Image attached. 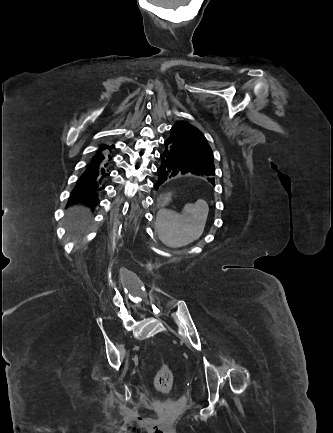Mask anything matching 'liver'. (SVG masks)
Wrapping results in <instances>:
<instances>
[{
  "label": "liver",
  "mask_w": 333,
  "mask_h": 433,
  "mask_svg": "<svg viewBox=\"0 0 333 433\" xmlns=\"http://www.w3.org/2000/svg\"><path fill=\"white\" fill-rule=\"evenodd\" d=\"M69 215V230L77 233L84 231L87 228L88 218L90 216L89 208L83 205H76L68 210Z\"/></svg>",
  "instance_id": "liver-1"
}]
</instances>
